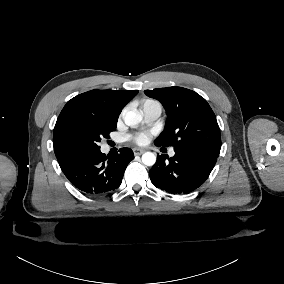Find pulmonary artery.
<instances>
[{
  "label": "pulmonary artery",
  "mask_w": 284,
  "mask_h": 284,
  "mask_svg": "<svg viewBox=\"0 0 284 284\" xmlns=\"http://www.w3.org/2000/svg\"><path fill=\"white\" fill-rule=\"evenodd\" d=\"M143 122L152 125L157 122L162 113V105L156 100H147L141 106ZM174 154V150H170V155Z\"/></svg>",
  "instance_id": "1"
}]
</instances>
